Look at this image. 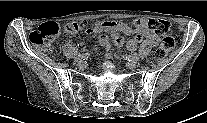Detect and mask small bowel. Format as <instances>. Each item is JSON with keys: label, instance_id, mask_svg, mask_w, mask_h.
I'll use <instances>...</instances> for the list:
<instances>
[{"label": "small bowel", "instance_id": "obj_1", "mask_svg": "<svg viewBox=\"0 0 207 123\" xmlns=\"http://www.w3.org/2000/svg\"><path fill=\"white\" fill-rule=\"evenodd\" d=\"M90 32L100 34L97 40L98 44L107 50L110 49V38L104 33H110L113 37L114 43L118 47L122 46L124 43L122 34L134 35V37L127 42V48L129 50H135L137 46L144 41H147L149 44L154 46L158 45L161 41L157 34L150 32L148 29H133L121 21L110 20L97 22L92 29H90ZM107 57L109 60L110 56L107 55Z\"/></svg>", "mask_w": 207, "mask_h": 123}]
</instances>
